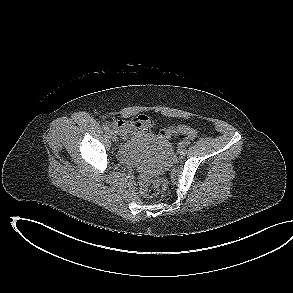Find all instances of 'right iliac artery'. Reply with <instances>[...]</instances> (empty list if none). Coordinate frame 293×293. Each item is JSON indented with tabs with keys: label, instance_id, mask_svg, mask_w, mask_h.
<instances>
[{
	"label": "right iliac artery",
	"instance_id": "obj_1",
	"mask_svg": "<svg viewBox=\"0 0 293 293\" xmlns=\"http://www.w3.org/2000/svg\"><path fill=\"white\" fill-rule=\"evenodd\" d=\"M103 129H104L105 131H109V129H110V128H109V125L104 124V125H103Z\"/></svg>",
	"mask_w": 293,
	"mask_h": 293
}]
</instances>
